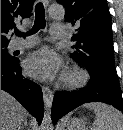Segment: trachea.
Instances as JSON below:
<instances>
[{
	"label": "trachea",
	"mask_w": 123,
	"mask_h": 130,
	"mask_svg": "<svg viewBox=\"0 0 123 130\" xmlns=\"http://www.w3.org/2000/svg\"><path fill=\"white\" fill-rule=\"evenodd\" d=\"M44 28H45V10L43 4L39 2L35 6V21L32 29L26 34L20 31H15V34L25 38L27 35L35 34L40 29Z\"/></svg>",
	"instance_id": "1"
}]
</instances>
